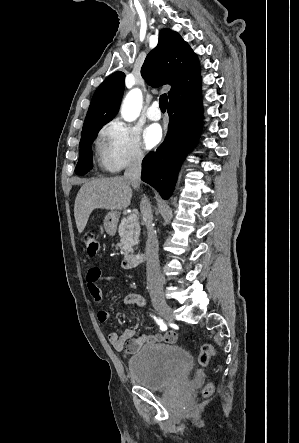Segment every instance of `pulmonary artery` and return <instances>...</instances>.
Masks as SVG:
<instances>
[{
    "label": "pulmonary artery",
    "mask_w": 299,
    "mask_h": 443,
    "mask_svg": "<svg viewBox=\"0 0 299 443\" xmlns=\"http://www.w3.org/2000/svg\"><path fill=\"white\" fill-rule=\"evenodd\" d=\"M146 114H147V117L150 120H153V121L160 120L161 112H160V109H159V102L158 101H153L151 103L150 107L148 108Z\"/></svg>",
    "instance_id": "pulmonary-artery-1"
}]
</instances>
